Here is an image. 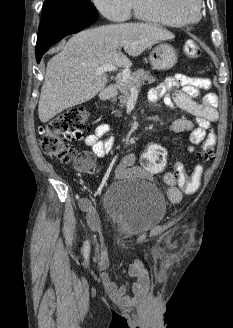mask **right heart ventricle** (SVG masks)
Segmentation results:
<instances>
[{"label": "right heart ventricle", "mask_w": 233, "mask_h": 328, "mask_svg": "<svg viewBox=\"0 0 233 328\" xmlns=\"http://www.w3.org/2000/svg\"><path fill=\"white\" fill-rule=\"evenodd\" d=\"M132 11L135 18L142 21L158 23L171 27L182 26L170 16L152 7L149 0H133Z\"/></svg>", "instance_id": "e07e8e85"}]
</instances>
